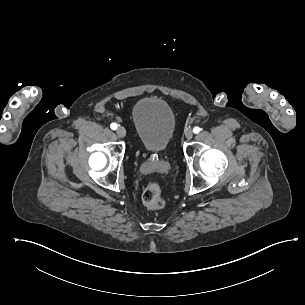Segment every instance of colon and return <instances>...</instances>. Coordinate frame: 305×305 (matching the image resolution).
<instances>
[{
	"instance_id": "1",
	"label": "colon",
	"mask_w": 305,
	"mask_h": 305,
	"mask_svg": "<svg viewBox=\"0 0 305 305\" xmlns=\"http://www.w3.org/2000/svg\"><path fill=\"white\" fill-rule=\"evenodd\" d=\"M142 203L149 211H158L165 207V198L160 188L156 185H148L142 193Z\"/></svg>"
}]
</instances>
